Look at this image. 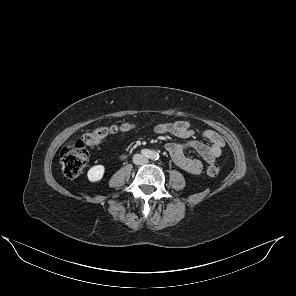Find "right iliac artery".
<instances>
[{
	"label": "right iliac artery",
	"instance_id": "1",
	"mask_svg": "<svg viewBox=\"0 0 296 296\" xmlns=\"http://www.w3.org/2000/svg\"><path fill=\"white\" fill-rule=\"evenodd\" d=\"M141 153H142L143 155H145L146 157H150L151 154H152L151 151L148 150V149H144V150H142Z\"/></svg>",
	"mask_w": 296,
	"mask_h": 296
}]
</instances>
